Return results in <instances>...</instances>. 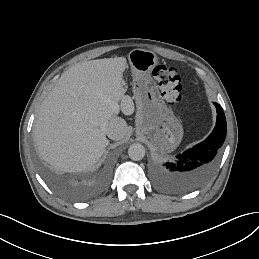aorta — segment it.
Returning <instances> with one entry per match:
<instances>
[{
  "instance_id": "obj_1",
  "label": "aorta",
  "mask_w": 259,
  "mask_h": 259,
  "mask_svg": "<svg viewBox=\"0 0 259 259\" xmlns=\"http://www.w3.org/2000/svg\"><path fill=\"white\" fill-rule=\"evenodd\" d=\"M128 155L132 160H142L145 156V148L140 143L131 144L128 148Z\"/></svg>"
}]
</instances>
